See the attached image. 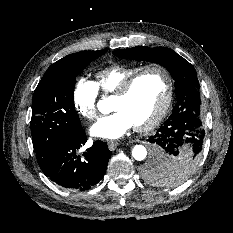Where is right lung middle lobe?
I'll return each mask as SVG.
<instances>
[{"instance_id": "dd1d6c3e", "label": "right lung middle lobe", "mask_w": 233, "mask_h": 233, "mask_svg": "<svg viewBox=\"0 0 233 233\" xmlns=\"http://www.w3.org/2000/svg\"><path fill=\"white\" fill-rule=\"evenodd\" d=\"M104 53L105 50L71 54L59 67L48 68L35 89L31 135L40 168L68 135L81 128L74 106L75 76Z\"/></svg>"}]
</instances>
